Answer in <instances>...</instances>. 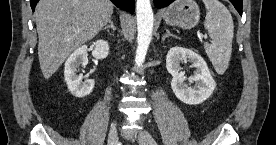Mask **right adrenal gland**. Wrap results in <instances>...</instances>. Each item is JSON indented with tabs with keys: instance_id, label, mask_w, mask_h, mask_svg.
I'll list each match as a JSON object with an SVG mask.
<instances>
[{
	"instance_id": "right-adrenal-gland-1",
	"label": "right adrenal gland",
	"mask_w": 276,
	"mask_h": 145,
	"mask_svg": "<svg viewBox=\"0 0 276 145\" xmlns=\"http://www.w3.org/2000/svg\"><path fill=\"white\" fill-rule=\"evenodd\" d=\"M109 28H111L113 31L116 30V27L114 26L112 19L109 20V25L105 26L102 30H108Z\"/></svg>"
}]
</instances>
